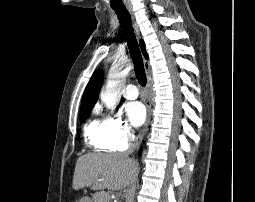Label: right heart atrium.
<instances>
[{
    "instance_id": "d8ad5b80",
    "label": "right heart atrium",
    "mask_w": 255,
    "mask_h": 202,
    "mask_svg": "<svg viewBox=\"0 0 255 202\" xmlns=\"http://www.w3.org/2000/svg\"><path fill=\"white\" fill-rule=\"evenodd\" d=\"M105 139L110 150H123L133 139L129 124L119 116L109 115L105 118Z\"/></svg>"
}]
</instances>
